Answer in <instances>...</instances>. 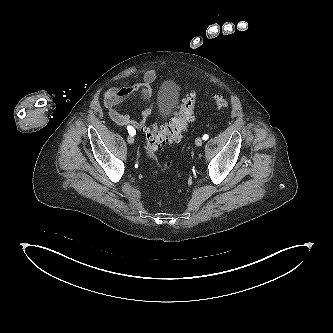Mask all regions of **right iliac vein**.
I'll use <instances>...</instances> for the list:
<instances>
[{
  "instance_id": "63e3f726",
  "label": "right iliac vein",
  "mask_w": 333,
  "mask_h": 333,
  "mask_svg": "<svg viewBox=\"0 0 333 333\" xmlns=\"http://www.w3.org/2000/svg\"><path fill=\"white\" fill-rule=\"evenodd\" d=\"M127 141H128L129 144H133V143H134V138H133V136H131V135L128 136V137H127Z\"/></svg>"
}]
</instances>
